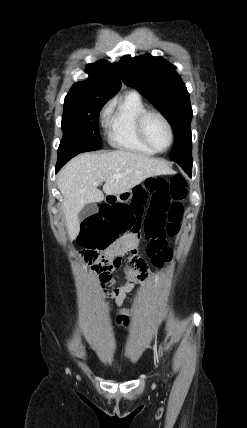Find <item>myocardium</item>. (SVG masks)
<instances>
[{"mask_svg":"<svg viewBox=\"0 0 247 428\" xmlns=\"http://www.w3.org/2000/svg\"><path fill=\"white\" fill-rule=\"evenodd\" d=\"M157 116L159 117L164 124L166 125L168 131H169V143L166 146V148L164 149H158L156 148L148 139V136L146 134V121L150 116ZM137 132L139 134V137L141 138V140L143 141V143L145 145H147L150 149H152L153 151H155L156 153H162L167 151L173 144L174 142V131H173V127L170 123V121L168 120V118L161 112L157 111V110H145L144 112H142L138 118H137Z\"/></svg>","mask_w":247,"mask_h":428,"instance_id":"myocardium-1","label":"myocardium"}]
</instances>
